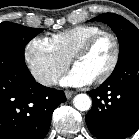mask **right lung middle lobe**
<instances>
[{
  "label": "right lung middle lobe",
  "instance_id": "dd1d6c3e",
  "mask_svg": "<svg viewBox=\"0 0 139 139\" xmlns=\"http://www.w3.org/2000/svg\"><path fill=\"white\" fill-rule=\"evenodd\" d=\"M41 31L42 29L7 21L0 23V52H10L24 57L25 45Z\"/></svg>",
  "mask_w": 139,
  "mask_h": 139
}]
</instances>
